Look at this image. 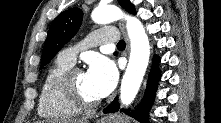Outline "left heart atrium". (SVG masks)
I'll return each instance as SVG.
<instances>
[{"label":"left heart atrium","mask_w":221,"mask_h":123,"mask_svg":"<svg viewBox=\"0 0 221 123\" xmlns=\"http://www.w3.org/2000/svg\"><path fill=\"white\" fill-rule=\"evenodd\" d=\"M86 74L100 98L107 96L114 89L118 79L114 62L104 56L93 57Z\"/></svg>","instance_id":"obj_1"}]
</instances>
